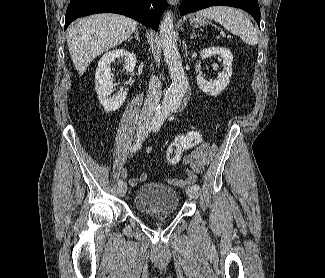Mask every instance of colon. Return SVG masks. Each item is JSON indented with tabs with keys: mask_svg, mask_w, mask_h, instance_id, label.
I'll return each instance as SVG.
<instances>
[{
	"mask_svg": "<svg viewBox=\"0 0 325 278\" xmlns=\"http://www.w3.org/2000/svg\"><path fill=\"white\" fill-rule=\"evenodd\" d=\"M200 140V135L196 131L176 137L166 151L165 160L167 165L174 166L178 164L183 152L194 147Z\"/></svg>",
	"mask_w": 325,
	"mask_h": 278,
	"instance_id": "5ec220e1",
	"label": "colon"
}]
</instances>
